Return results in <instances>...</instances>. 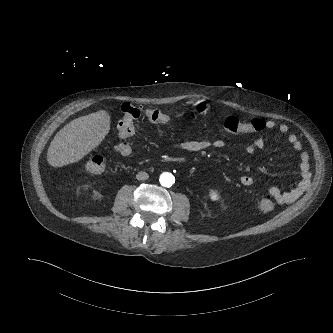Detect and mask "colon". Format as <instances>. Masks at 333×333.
I'll return each instance as SVG.
<instances>
[{
  "mask_svg": "<svg viewBox=\"0 0 333 333\" xmlns=\"http://www.w3.org/2000/svg\"><path fill=\"white\" fill-rule=\"evenodd\" d=\"M123 119L118 123L117 129L120 136L129 138L135 132V121L143 113L144 116L152 123L170 124L172 118L158 110L145 109L132 106L128 103L123 104ZM266 123L261 119L240 120L237 117L230 116L224 121V129L231 133H254L263 130ZM108 169V163L102 156L96 155L87 159L83 164V170L90 174H101ZM257 208L261 213H270L274 210V202L266 197L257 203Z\"/></svg>",
  "mask_w": 333,
  "mask_h": 333,
  "instance_id": "1",
  "label": "colon"
}]
</instances>
